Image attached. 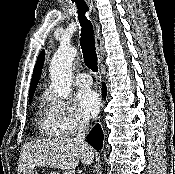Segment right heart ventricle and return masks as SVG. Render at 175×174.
Here are the masks:
<instances>
[{
	"instance_id": "1",
	"label": "right heart ventricle",
	"mask_w": 175,
	"mask_h": 174,
	"mask_svg": "<svg viewBox=\"0 0 175 174\" xmlns=\"http://www.w3.org/2000/svg\"><path fill=\"white\" fill-rule=\"evenodd\" d=\"M39 127L41 131L50 137H60L61 135L53 128L48 108L45 107V99L42 100V105L39 110Z\"/></svg>"
}]
</instances>
